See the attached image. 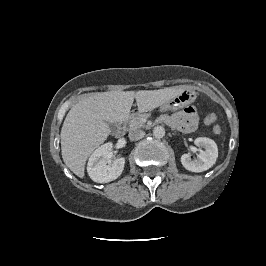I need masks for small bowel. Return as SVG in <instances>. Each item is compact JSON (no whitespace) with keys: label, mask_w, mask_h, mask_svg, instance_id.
Instances as JSON below:
<instances>
[{"label":"small bowel","mask_w":266,"mask_h":266,"mask_svg":"<svg viewBox=\"0 0 266 266\" xmlns=\"http://www.w3.org/2000/svg\"><path fill=\"white\" fill-rule=\"evenodd\" d=\"M159 121L185 133L193 132L198 125V115L194 106L171 115H162Z\"/></svg>","instance_id":"c3829d8e"}]
</instances>
